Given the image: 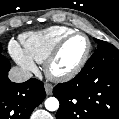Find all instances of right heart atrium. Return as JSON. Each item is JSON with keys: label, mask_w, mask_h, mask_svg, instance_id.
Returning a JSON list of instances; mask_svg holds the SVG:
<instances>
[{"label": "right heart atrium", "mask_w": 119, "mask_h": 119, "mask_svg": "<svg viewBox=\"0 0 119 119\" xmlns=\"http://www.w3.org/2000/svg\"><path fill=\"white\" fill-rule=\"evenodd\" d=\"M9 49L13 58L25 71L31 72L36 69L34 60L16 41L10 42Z\"/></svg>", "instance_id": "obj_1"}]
</instances>
